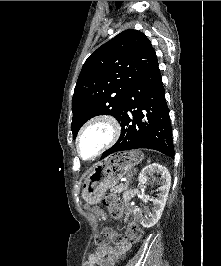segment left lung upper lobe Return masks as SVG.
Listing matches in <instances>:
<instances>
[{"mask_svg":"<svg viewBox=\"0 0 221 266\" xmlns=\"http://www.w3.org/2000/svg\"><path fill=\"white\" fill-rule=\"evenodd\" d=\"M158 67L146 35L128 29L100 46L85 61L72 98L73 139L80 127L97 115L119 120L131 86Z\"/></svg>","mask_w":221,"mask_h":266,"instance_id":"obj_1","label":"left lung upper lobe"}]
</instances>
